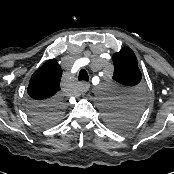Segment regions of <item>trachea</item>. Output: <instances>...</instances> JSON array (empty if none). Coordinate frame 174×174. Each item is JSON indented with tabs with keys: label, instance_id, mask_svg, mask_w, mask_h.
I'll use <instances>...</instances> for the list:
<instances>
[{
	"label": "trachea",
	"instance_id": "3493384b",
	"mask_svg": "<svg viewBox=\"0 0 174 174\" xmlns=\"http://www.w3.org/2000/svg\"><path fill=\"white\" fill-rule=\"evenodd\" d=\"M78 80L88 82L89 76H88V73L86 70H84V69L80 70Z\"/></svg>",
	"mask_w": 174,
	"mask_h": 174
}]
</instances>
